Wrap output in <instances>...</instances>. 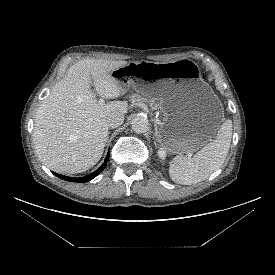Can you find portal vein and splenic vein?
<instances>
[{"label":"portal vein and splenic vein","mask_w":275,"mask_h":275,"mask_svg":"<svg viewBox=\"0 0 275 275\" xmlns=\"http://www.w3.org/2000/svg\"><path fill=\"white\" fill-rule=\"evenodd\" d=\"M98 103H99L100 105H104L105 101H104V99L101 98V99H99ZM187 155H188V158H191L192 152H191V151L188 152Z\"/></svg>","instance_id":"1"}]
</instances>
